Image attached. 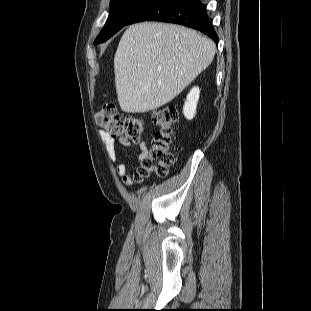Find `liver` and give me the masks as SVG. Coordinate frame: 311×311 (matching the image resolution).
I'll return each mask as SVG.
<instances>
[{"label": "liver", "mask_w": 311, "mask_h": 311, "mask_svg": "<svg viewBox=\"0 0 311 311\" xmlns=\"http://www.w3.org/2000/svg\"><path fill=\"white\" fill-rule=\"evenodd\" d=\"M215 49L211 39L183 26L131 25L114 56L122 111L144 113L169 103L211 64Z\"/></svg>", "instance_id": "6515ba94"}]
</instances>
